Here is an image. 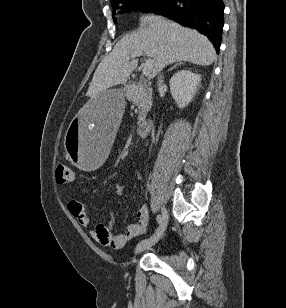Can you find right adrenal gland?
<instances>
[{
  "mask_svg": "<svg viewBox=\"0 0 286 308\" xmlns=\"http://www.w3.org/2000/svg\"><path fill=\"white\" fill-rule=\"evenodd\" d=\"M186 62H179V63H177V64H175L173 67H171L169 70H168V72L169 71H172L174 68H176L177 66H179V65H182V64H185Z\"/></svg>",
  "mask_w": 286,
  "mask_h": 308,
  "instance_id": "right-adrenal-gland-1",
  "label": "right adrenal gland"
}]
</instances>
